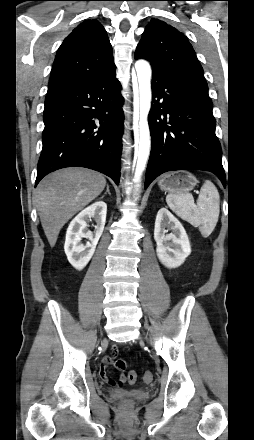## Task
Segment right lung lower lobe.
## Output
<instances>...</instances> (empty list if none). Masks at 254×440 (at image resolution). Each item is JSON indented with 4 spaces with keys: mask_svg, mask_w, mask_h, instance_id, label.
Segmentation results:
<instances>
[{
    "mask_svg": "<svg viewBox=\"0 0 254 440\" xmlns=\"http://www.w3.org/2000/svg\"><path fill=\"white\" fill-rule=\"evenodd\" d=\"M116 72L49 90L35 186L64 167H86L120 180L123 97Z\"/></svg>",
    "mask_w": 254,
    "mask_h": 440,
    "instance_id": "obj_1",
    "label": "right lung lower lobe"
}]
</instances>
